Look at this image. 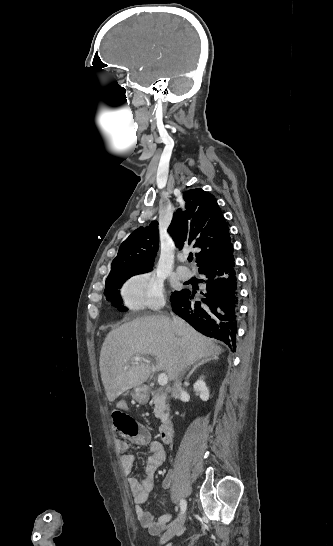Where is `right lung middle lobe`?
Returning <instances> with one entry per match:
<instances>
[{"mask_svg":"<svg viewBox=\"0 0 333 546\" xmlns=\"http://www.w3.org/2000/svg\"><path fill=\"white\" fill-rule=\"evenodd\" d=\"M150 270H117L110 272L109 276L106 279L105 298L112 303L113 306L117 307L119 311H126L127 308L122 306V300L120 298V291L122 284L129 279L130 277L146 273Z\"/></svg>","mask_w":333,"mask_h":546,"instance_id":"right-lung-middle-lobe-1","label":"right lung middle lobe"}]
</instances>
